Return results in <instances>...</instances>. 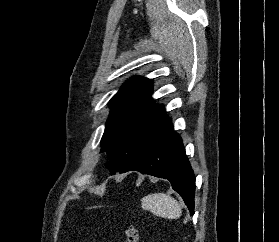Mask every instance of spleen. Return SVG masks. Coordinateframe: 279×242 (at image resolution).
<instances>
[{
	"mask_svg": "<svg viewBox=\"0 0 279 242\" xmlns=\"http://www.w3.org/2000/svg\"><path fill=\"white\" fill-rule=\"evenodd\" d=\"M142 208L169 219H177L182 213L178 201L165 193H153L143 197Z\"/></svg>",
	"mask_w": 279,
	"mask_h": 242,
	"instance_id": "1",
	"label": "spleen"
}]
</instances>
